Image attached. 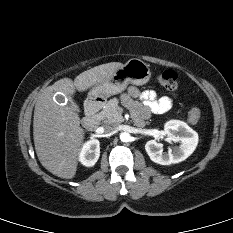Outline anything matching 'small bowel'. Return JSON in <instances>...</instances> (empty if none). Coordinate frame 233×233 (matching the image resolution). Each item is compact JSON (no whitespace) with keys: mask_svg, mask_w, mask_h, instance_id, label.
<instances>
[{"mask_svg":"<svg viewBox=\"0 0 233 233\" xmlns=\"http://www.w3.org/2000/svg\"><path fill=\"white\" fill-rule=\"evenodd\" d=\"M122 100L129 107L137 123L148 119L152 114L167 112L173 103L169 96H158L153 90L140 91L135 86H130L122 96Z\"/></svg>","mask_w":233,"mask_h":233,"instance_id":"1","label":"small bowel"}]
</instances>
